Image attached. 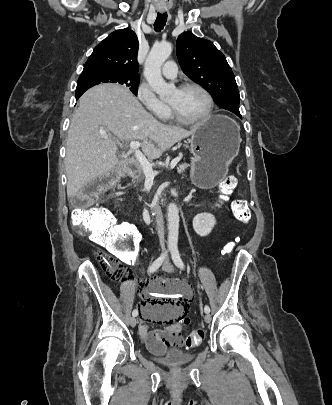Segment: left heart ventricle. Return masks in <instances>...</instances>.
Here are the masks:
<instances>
[{
	"label": "left heart ventricle",
	"mask_w": 332,
	"mask_h": 405,
	"mask_svg": "<svg viewBox=\"0 0 332 405\" xmlns=\"http://www.w3.org/2000/svg\"><path fill=\"white\" fill-rule=\"evenodd\" d=\"M178 113L186 119H195L201 116L207 108L205 96L196 89L180 91L174 90L168 99Z\"/></svg>",
	"instance_id": "b2bd125f"
}]
</instances>
